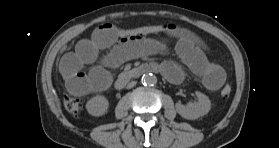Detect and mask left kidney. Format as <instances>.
Masks as SVG:
<instances>
[{
  "label": "left kidney",
  "instance_id": "obj_1",
  "mask_svg": "<svg viewBox=\"0 0 279 148\" xmlns=\"http://www.w3.org/2000/svg\"><path fill=\"white\" fill-rule=\"evenodd\" d=\"M198 102L189 103L188 105H183L181 103H176V111L183 118L188 120H195L204 115H206L211 108V101L205 94L196 91L195 92Z\"/></svg>",
  "mask_w": 279,
  "mask_h": 148
}]
</instances>
